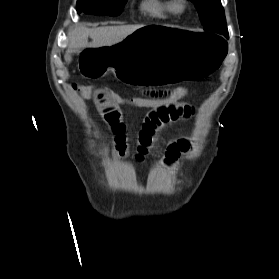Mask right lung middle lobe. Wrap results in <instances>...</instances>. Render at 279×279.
<instances>
[{
    "mask_svg": "<svg viewBox=\"0 0 279 279\" xmlns=\"http://www.w3.org/2000/svg\"><path fill=\"white\" fill-rule=\"evenodd\" d=\"M127 0H78L77 12L80 14L117 16Z\"/></svg>",
    "mask_w": 279,
    "mask_h": 279,
    "instance_id": "1",
    "label": "right lung middle lobe"
}]
</instances>
